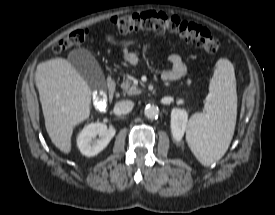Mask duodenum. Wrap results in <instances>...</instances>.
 <instances>
[{
    "instance_id": "1",
    "label": "duodenum",
    "mask_w": 275,
    "mask_h": 215,
    "mask_svg": "<svg viewBox=\"0 0 275 215\" xmlns=\"http://www.w3.org/2000/svg\"><path fill=\"white\" fill-rule=\"evenodd\" d=\"M115 91H116V81L112 76H110L108 77V80H107L106 97L109 99H112L115 95Z\"/></svg>"
}]
</instances>
